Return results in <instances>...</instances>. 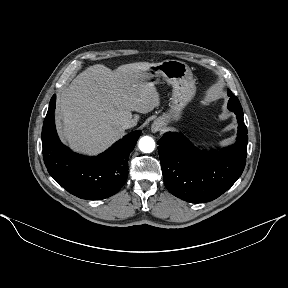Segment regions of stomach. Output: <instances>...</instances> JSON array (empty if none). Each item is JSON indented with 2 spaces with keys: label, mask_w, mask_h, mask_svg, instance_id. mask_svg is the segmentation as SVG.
<instances>
[{
  "label": "stomach",
  "mask_w": 288,
  "mask_h": 288,
  "mask_svg": "<svg viewBox=\"0 0 288 288\" xmlns=\"http://www.w3.org/2000/svg\"><path fill=\"white\" fill-rule=\"evenodd\" d=\"M147 73L154 84L162 78L173 88L170 109L154 121L153 127L159 123L167 125L171 122H178L182 118L185 106L196 94L191 69L182 61L164 60L150 64Z\"/></svg>",
  "instance_id": "obj_1"
}]
</instances>
